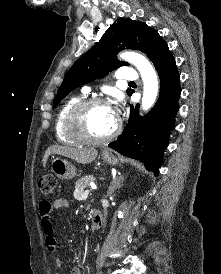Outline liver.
Segmentation results:
<instances>
[{
    "label": "liver",
    "instance_id": "6515ba94",
    "mask_svg": "<svg viewBox=\"0 0 221 274\" xmlns=\"http://www.w3.org/2000/svg\"><path fill=\"white\" fill-rule=\"evenodd\" d=\"M51 154H58L64 157H68L80 164H88L95 160V158L98 155V152L94 148L78 149V148L53 145V146H50L44 154V157L42 160L44 167L46 166L47 159Z\"/></svg>",
    "mask_w": 221,
    "mask_h": 274
}]
</instances>
